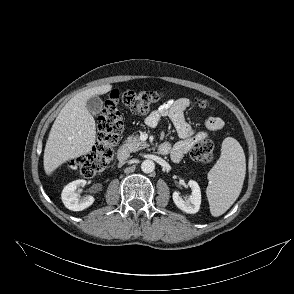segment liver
<instances>
[{
    "instance_id": "liver-1",
    "label": "liver",
    "mask_w": 294,
    "mask_h": 294,
    "mask_svg": "<svg viewBox=\"0 0 294 294\" xmlns=\"http://www.w3.org/2000/svg\"><path fill=\"white\" fill-rule=\"evenodd\" d=\"M112 85L87 89L71 98L54 121L44 150V170L51 175L63 163L85 155L96 140L95 120L86 108L87 100L108 93Z\"/></svg>"
}]
</instances>
